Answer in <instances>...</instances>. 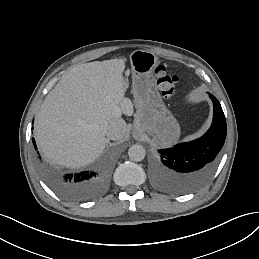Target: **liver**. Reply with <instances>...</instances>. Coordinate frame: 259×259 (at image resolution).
Here are the masks:
<instances>
[{"label":"liver","instance_id":"6515ba94","mask_svg":"<svg viewBox=\"0 0 259 259\" xmlns=\"http://www.w3.org/2000/svg\"><path fill=\"white\" fill-rule=\"evenodd\" d=\"M124 69V60L113 59L82 64L62 76L34 122V137L44 156L78 167L101 154L108 139L100 125L121 119V113L132 115L124 97Z\"/></svg>","mask_w":259,"mask_h":259}]
</instances>
